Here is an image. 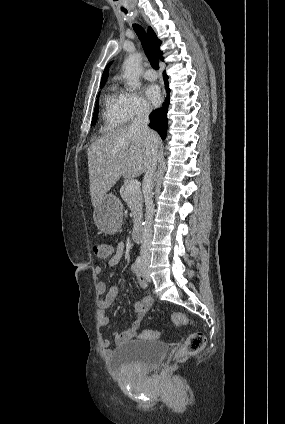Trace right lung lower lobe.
Wrapping results in <instances>:
<instances>
[{
    "label": "right lung lower lobe",
    "instance_id": "98d812e1",
    "mask_svg": "<svg viewBox=\"0 0 285 424\" xmlns=\"http://www.w3.org/2000/svg\"><path fill=\"white\" fill-rule=\"evenodd\" d=\"M163 78L165 81L166 91H167V98L164 103V106L162 108H159L155 111H153L150 115V123L149 126L156 130L162 139L166 137L167 132V126H168V118H167V112H168V105H169V93L170 89L168 88V76L164 72Z\"/></svg>",
    "mask_w": 285,
    "mask_h": 424
}]
</instances>
